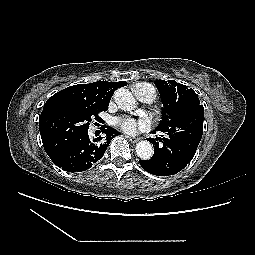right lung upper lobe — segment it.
<instances>
[{
	"mask_svg": "<svg viewBox=\"0 0 255 255\" xmlns=\"http://www.w3.org/2000/svg\"><path fill=\"white\" fill-rule=\"evenodd\" d=\"M125 85H127L125 81H98L70 86L50 97L45 103L42 113L56 107L75 109L108 107L114 91Z\"/></svg>",
	"mask_w": 255,
	"mask_h": 255,
	"instance_id": "1",
	"label": "right lung upper lobe"
}]
</instances>
